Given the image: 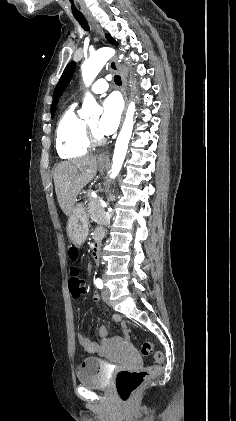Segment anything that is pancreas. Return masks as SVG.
<instances>
[{"label": "pancreas", "mask_w": 236, "mask_h": 421, "mask_svg": "<svg viewBox=\"0 0 236 421\" xmlns=\"http://www.w3.org/2000/svg\"><path fill=\"white\" fill-rule=\"evenodd\" d=\"M88 196V208H89V217H91L94 223L97 225H108V219H106V213L104 206H101L100 200H96L91 196L90 192L87 194Z\"/></svg>", "instance_id": "obj_1"}]
</instances>
